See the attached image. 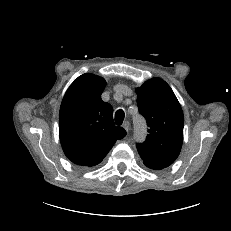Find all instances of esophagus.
<instances>
[{
	"instance_id": "esophagus-1",
	"label": "esophagus",
	"mask_w": 231,
	"mask_h": 231,
	"mask_svg": "<svg viewBox=\"0 0 231 231\" xmlns=\"http://www.w3.org/2000/svg\"><path fill=\"white\" fill-rule=\"evenodd\" d=\"M123 128L127 131V133L129 132L130 130V123L128 121H125L123 123Z\"/></svg>"
}]
</instances>
